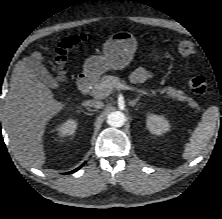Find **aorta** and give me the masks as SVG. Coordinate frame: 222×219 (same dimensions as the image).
Segmentation results:
<instances>
[{
  "instance_id": "aorta-1",
  "label": "aorta",
  "mask_w": 222,
  "mask_h": 219,
  "mask_svg": "<svg viewBox=\"0 0 222 219\" xmlns=\"http://www.w3.org/2000/svg\"><path fill=\"white\" fill-rule=\"evenodd\" d=\"M125 121L126 117L120 111L111 112L107 117V123L112 127H122Z\"/></svg>"
}]
</instances>
